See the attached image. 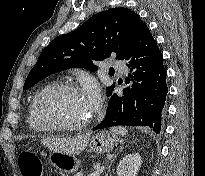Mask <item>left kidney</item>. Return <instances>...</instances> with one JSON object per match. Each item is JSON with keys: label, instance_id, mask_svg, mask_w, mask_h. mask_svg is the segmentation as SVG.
<instances>
[{"label": "left kidney", "instance_id": "5707ae66", "mask_svg": "<svg viewBox=\"0 0 205 176\" xmlns=\"http://www.w3.org/2000/svg\"><path fill=\"white\" fill-rule=\"evenodd\" d=\"M142 160L138 153L126 155L117 166V176H137Z\"/></svg>", "mask_w": 205, "mask_h": 176}]
</instances>
